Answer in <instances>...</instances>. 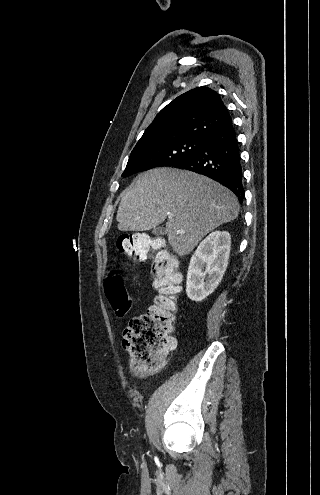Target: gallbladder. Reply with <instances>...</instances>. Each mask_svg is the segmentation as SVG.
Masks as SVG:
<instances>
[{
  "mask_svg": "<svg viewBox=\"0 0 320 495\" xmlns=\"http://www.w3.org/2000/svg\"><path fill=\"white\" fill-rule=\"evenodd\" d=\"M153 234L158 236V235H164L165 234V229L163 227H155L153 229Z\"/></svg>",
  "mask_w": 320,
  "mask_h": 495,
  "instance_id": "obj_1",
  "label": "gallbladder"
}]
</instances>
